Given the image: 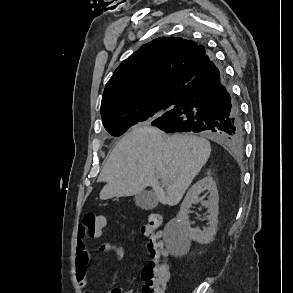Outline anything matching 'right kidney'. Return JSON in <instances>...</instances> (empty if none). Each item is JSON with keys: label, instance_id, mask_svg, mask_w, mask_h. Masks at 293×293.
I'll list each match as a JSON object with an SVG mask.
<instances>
[{"label": "right kidney", "instance_id": "ca27d5eb", "mask_svg": "<svg viewBox=\"0 0 293 293\" xmlns=\"http://www.w3.org/2000/svg\"><path fill=\"white\" fill-rule=\"evenodd\" d=\"M208 190L209 198L204 201L203 197H199L200 193ZM218 190L216 183L211 176H207L198 182H196L187 192L182 204L181 209L177 217V226L181 234L188 243L190 240H194L201 244H207L211 242L213 236L217 231L218 224ZM201 202L202 206L208 209V223L207 227L201 230L191 228L189 222L190 208L193 203Z\"/></svg>", "mask_w": 293, "mask_h": 293}]
</instances>
